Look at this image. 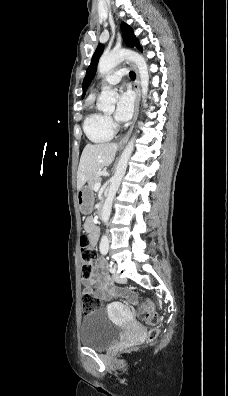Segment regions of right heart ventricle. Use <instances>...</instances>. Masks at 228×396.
Listing matches in <instances>:
<instances>
[{
	"mask_svg": "<svg viewBox=\"0 0 228 396\" xmlns=\"http://www.w3.org/2000/svg\"><path fill=\"white\" fill-rule=\"evenodd\" d=\"M89 112L83 122V130L87 138L93 143H105L114 136V131L109 125L106 115L94 105V95L88 100Z\"/></svg>",
	"mask_w": 228,
	"mask_h": 396,
	"instance_id": "right-heart-ventricle-1",
	"label": "right heart ventricle"
}]
</instances>
